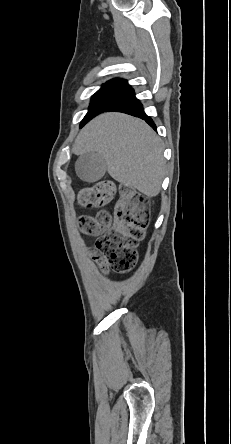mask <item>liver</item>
<instances>
[{
  "label": "liver",
  "instance_id": "liver-1",
  "mask_svg": "<svg viewBox=\"0 0 231 444\" xmlns=\"http://www.w3.org/2000/svg\"><path fill=\"white\" fill-rule=\"evenodd\" d=\"M72 151L76 155L98 153L115 181L147 197H155L161 190L163 147L152 128L138 118L123 113L100 114L81 130Z\"/></svg>",
  "mask_w": 231,
  "mask_h": 444
}]
</instances>
